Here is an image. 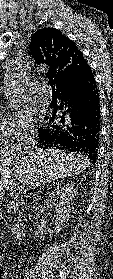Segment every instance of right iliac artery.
Here are the masks:
<instances>
[{
	"label": "right iliac artery",
	"mask_w": 113,
	"mask_h": 279,
	"mask_svg": "<svg viewBox=\"0 0 113 279\" xmlns=\"http://www.w3.org/2000/svg\"><path fill=\"white\" fill-rule=\"evenodd\" d=\"M23 279H31V276L28 274V273H26L25 275H24V278Z\"/></svg>",
	"instance_id": "obj_1"
}]
</instances>
